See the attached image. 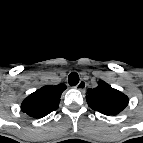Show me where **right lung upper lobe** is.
<instances>
[{"instance_id": "1", "label": "right lung upper lobe", "mask_w": 143, "mask_h": 143, "mask_svg": "<svg viewBox=\"0 0 143 143\" xmlns=\"http://www.w3.org/2000/svg\"><path fill=\"white\" fill-rule=\"evenodd\" d=\"M66 85L44 86L30 94L21 104L22 112L33 118H42L59 107L60 97Z\"/></svg>"}]
</instances>
